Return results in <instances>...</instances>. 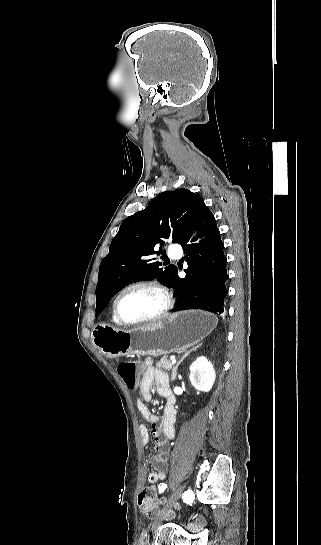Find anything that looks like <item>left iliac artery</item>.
Returning <instances> with one entry per match:
<instances>
[{"label":"left iliac artery","mask_w":321,"mask_h":545,"mask_svg":"<svg viewBox=\"0 0 321 545\" xmlns=\"http://www.w3.org/2000/svg\"><path fill=\"white\" fill-rule=\"evenodd\" d=\"M167 485L163 484L159 487V492L162 493L166 489Z\"/></svg>","instance_id":"1"}]
</instances>
